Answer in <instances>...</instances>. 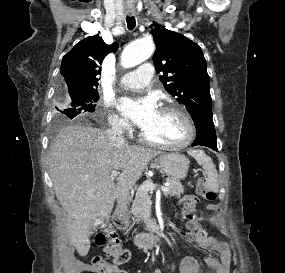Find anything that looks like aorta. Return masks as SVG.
<instances>
[{
	"instance_id": "aorta-1",
	"label": "aorta",
	"mask_w": 285,
	"mask_h": 273,
	"mask_svg": "<svg viewBox=\"0 0 285 273\" xmlns=\"http://www.w3.org/2000/svg\"><path fill=\"white\" fill-rule=\"evenodd\" d=\"M155 45L150 39H141L130 43L122 52L121 64L125 68L134 67L151 57Z\"/></svg>"
}]
</instances>
